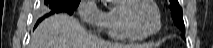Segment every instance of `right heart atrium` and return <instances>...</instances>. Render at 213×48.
I'll return each instance as SVG.
<instances>
[{
  "label": "right heart atrium",
  "instance_id": "d8ad5b80",
  "mask_svg": "<svg viewBox=\"0 0 213 48\" xmlns=\"http://www.w3.org/2000/svg\"><path fill=\"white\" fill-rule=\"evenodd\" d=\"M78 14L83 23L96 30H102L104 12L97 1H81L78 7Z\"/></svg>",
  "mask_w": 213,
  "mask_h": 48
}]
</instances>
